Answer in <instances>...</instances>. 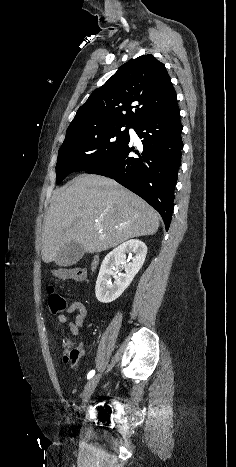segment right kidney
<instances>
[{"label":"right kidney","mask_w":236,"mask_h":467,"mask_svg":"<svg viewBox=\"0 0 236 467\" xmlns=\"http://www.w3.org/2000/svg\"><path fill=\"white\" fill-rule=\"evenodd\" d=\"M134 254L131 262L125 261V255ZM147 254V246L140 240L133 239L124 242L109 252L100 267L96 281L95 294L99 302L110 303L116 300L130 285L135 275L141 269ZM124 273H120V268ZM111 277L114 284L110 283Z\"/></svg>","instance_id":"right-kidney-1"}]
</instances>
